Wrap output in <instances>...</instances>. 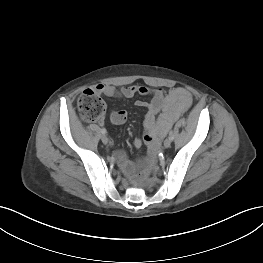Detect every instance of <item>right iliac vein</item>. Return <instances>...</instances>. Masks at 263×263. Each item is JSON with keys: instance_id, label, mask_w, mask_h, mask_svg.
Wrapping results in <instances>:
<instances>
[{"instance_id": "63e3f726", "label": "right iliac vein", "mask_w": 263, "mask_h": 263, "mask_svg": "<svg viewBox=\"0 0 263 263\" xmlns=\"http://www.w3.org/2000/svg\"><path fill=\"white\" fill-rule=\"evenodd\" d=\"M101 140H102V142H103L104 144H107V143H108V138H107V136H105V135H103V136L101 137Z\"/></svg>"}]
</instances>
